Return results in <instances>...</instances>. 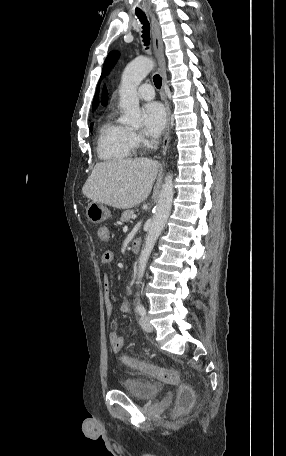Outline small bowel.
I'll use <instances>...</instances> for the list:
<instances>
[{"label": "small bowel", "mask_w": 286, "mask_h": 456, "mask_svg": "<svg viewBox=\"0 0 286 456\" xmlns=\"http://www.w3.org/2000/svg\"><path fill=\"white\" fill-rule=\"evenodd\" d=\"M97 234H98V237L103 241H107L110 238V230L106 226L99 227L97 230ZM113 259H114V253L112 251L108 250L102 254L101 263L103 265H107V264H110L113 261ZM110 292H111V283H110L109 277L104 276L103 293H104L105 309H106V313L108 316H111L115 310V306L111 299ZM120 310L122 312L129 311V304L127 301H123L120 304ZM109 342H110L112 349L115 352H119L123 348L124 338L121 335H119L116 331H111L109 333Z\"/></svg>", "instance_id": "obj_1"}]
</instances>
